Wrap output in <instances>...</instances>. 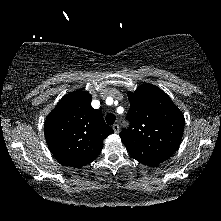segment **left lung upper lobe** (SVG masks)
<instances>
[{"mask_svg": "<svg viewBox=\"0 0 221 221\" xmlns=\"http://www.w3.org/2000/svg\"><path fill=\"white\" fill-rule=\"evenodd\" d=\"M129 128L121 140L137 161L157 166L169 159L180 145L184 116L170 97L152 84H143L129 92Z\"/></svg>", "mask_w": 221, "mask_h": 221, "instance_id": "obj_1", "label": "left lung upper lobe"}]
</instances>
